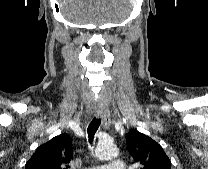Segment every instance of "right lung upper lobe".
I'll list each match as a JSON object with an SVG mask.
<instances>
[{
  "instance_id": "right-lung-upper-lobe-1",
  "label": "right lung upper lobe",
  "mask_w": 208,
  "mask_h": 169,
  "mask_svg": "<svg viewBox=\"0 0 208 169\" xmlns=\"http://www.w3.org/2000/svg\"><path fill=\"white\" fill-rule=\"evenodd\" d=\"M72 159V139L67 134H60L39 146L25 169H69Z\"/></svg>"
}]
</instances>
